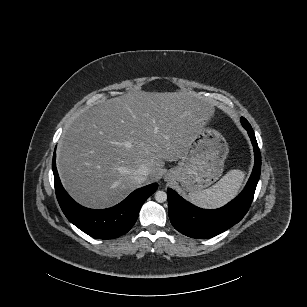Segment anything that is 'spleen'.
Masks as SVG:
<instances>
[{
	"label": "spleen",
	"instance_id": "spleen-1",
	"mask_svg": "<svg viewBox=\"0 0 307 307\" xmlns=\"http://www.w3.org/2000/svg\"><path fill=\"white\" fill-rule=\"evenodd\" d=\"M246 178L244 169L230 170L219 182L212 187L191 192L187 199L194 206L202 209H218L236 198L241 191Z\"/></svg>",
	"mask_w": 307,
	"mask_h": 307
}]
</instances>
